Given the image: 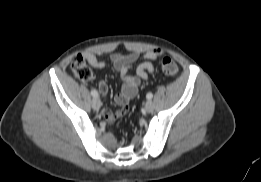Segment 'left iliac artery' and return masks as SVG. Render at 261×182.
<instances>
[{"mask_svg": "<svg viewBox=\"0 0 261 182\" xmlns=\"http://www.w3.org/2000/svg\"><path fill=\"white\" fill-rule=\"evenodd\" d=\"M146 97H147V99H152L153 94H152V93H148V94L146 95Z\"/></svg>", "mask_w": 261, "mask_h": 182, "instance_id": "left-iliac-artery-1", "label": "left iliac artery"}]
</instances>
